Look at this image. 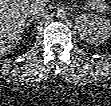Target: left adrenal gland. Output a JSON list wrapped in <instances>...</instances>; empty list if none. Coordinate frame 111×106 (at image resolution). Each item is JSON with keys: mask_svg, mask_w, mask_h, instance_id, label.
Here are the masks:
<instances>
[{"mask_svg": "<svg viewBox=\"0 0 111 106\" xmlns=\"http://www.w3.org/2000/svg\"><path fill=\"white\" fill-rule=\"evenodd\" d=\"M78 8H80V9H87V8H85L84 6L77 5V4H74V5L71 6V9H74V10H76V9H78Z\"/></svg>", "mask_w": 111, "mask_h": 106, "instance_id": "a2214340", "label": "left adrenal gland"}]
</instances>
